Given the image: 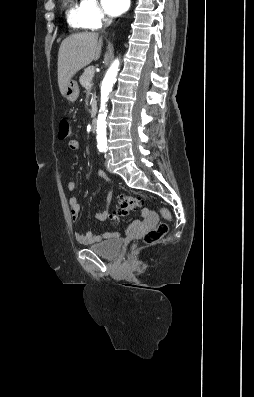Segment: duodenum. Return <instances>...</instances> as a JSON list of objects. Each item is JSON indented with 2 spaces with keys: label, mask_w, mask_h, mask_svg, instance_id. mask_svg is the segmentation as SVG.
Returning <instances> with one entry per match:
<instances>
[{
  "label": "duodenum",
  "mask_w": 254,
  "mask_h": 397,
  "mask_svg": "<svg viewBox=\"0 0 254 397\" xmlns=\"http://www.w3.org/2000/svg\"><path fill=\"white\" fill-rule=\"evenodd\" d=\"M96 126H97V118H96V115H94V117H93V119L91 121V129H92V131L96 130Z\"/></svg>",
  "instance_id": "1"
}]
</instances>
